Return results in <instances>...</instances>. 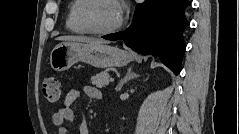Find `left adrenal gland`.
I'll return each mask as SVG.
<instances>
[{
	"label": "left adrenal gland",
	"mask_w": 239,
	"mask_h": 134,
	"mask_svg": "<svg viewBox=\"0 0 239 134\" xmlns=\"http://www.w3.org/2000/svg\"><path fill=\"white\" fill-rule=\"evenodd\" d=\"M139 75L132 72V68H128L126 75L124 76L123 79H121L116 87L117 91H120L123 87V85L128 82L131 79L138 78Z\"/></svg>",
	"instance_id": "1"
}]
</instances>
